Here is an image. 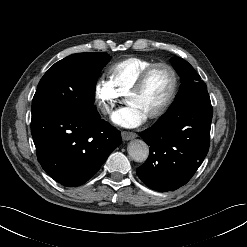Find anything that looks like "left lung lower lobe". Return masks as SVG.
<instances>
[{"label": "left lung lower lobe", "instance_id": "0a47b994", "mask_svg": "<svg viewBox=\"0 0 247 247\" xmlns=\"http://www.w3.org/2000/svg\"><path fill=\"white\" fill-rule=\"evenodd\" d=\"M211 121L207 91L164 114L142 132L150 152L146 162L137 168L138 177L156 191L176 190L186 184L207 155Z\"/></svg>", "mask_w": 247, "mask_h": 247}]
</instances>
